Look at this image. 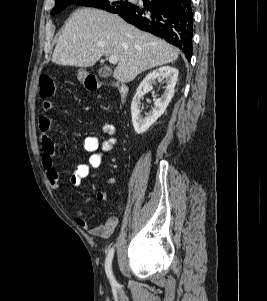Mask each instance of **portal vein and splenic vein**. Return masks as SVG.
I'll return each instance as SVG.
<instances>
[{"instance_id": "1", "label": "portal vein and splenic vein", "mask_w": 267, "mask_h": 301, "mask_svg": "<svg viewBox=\"0 0 267 301\" xmlns=\"http://www.w3.org/2000/svg\"><path fill=\"white\" fill-rule=\"evenodd\" d=\"M109 62L111 64H116L118 62V58L116 56H110L109 57Z\"/></svg>"}]
</instances>
